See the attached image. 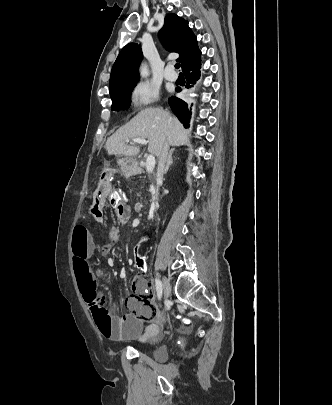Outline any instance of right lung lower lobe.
Masks as SVG:
<instances>
[{
    "label": "right lung lower lobe",
    "mask_w": 332,
    "mask_h": 405,
    "mask_svg": "<svg viewBox=\"0 0 332 405\" xmlns=\"http://www.w3.org/2000/svg\"><path fill=\"white\" fill-rule=\"evenodd\" d=\"M200 59L197 61L187 65L184 69V75L187 80L186 87H192L193 84L200 78ZM176 91H181V88L177 87ZM169 105L174 112V114L178 117L181 123L185 127H188V123L190 120L191 111H189L188 103L182 99L171 97L169 99ZM192 106V105H191Z\"/></svg>",
    "instance_id": "obj_1"
}]
</instances>
